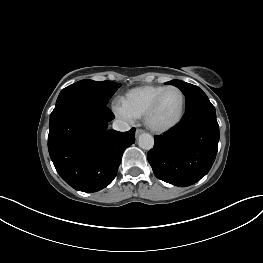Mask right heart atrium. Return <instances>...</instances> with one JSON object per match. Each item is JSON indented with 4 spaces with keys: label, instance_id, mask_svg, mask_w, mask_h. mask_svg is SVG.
I'll use <instances>...</instances> for the list:
<instances>
[{
    "label": "right heart atrium",
    "instance_id": "obj_1",
    "mask_svg": "<svg viewBox=\"0 0 263 263\" xmlns=\"http://www.w3.org/2000/svg\"><path fill=\"white\" fill-rule=\"evenodd\" d=\"M114 111H115L116 115H117L119 118H121V119H123V120H125V121L130 122V121L133 120V117H132L131 115H129V114L121 107V105H118V104L114 105Z\"/></svg>",
    "mask_w": 263,
    "mask_h": 263
}]
</instances>
